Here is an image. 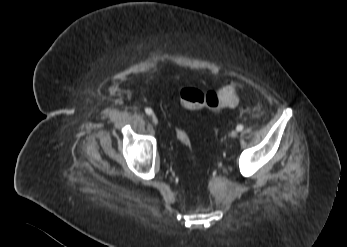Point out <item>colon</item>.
Returning a JSON list of instances; mask_svg holds the SVG:
<instances>
[{
  "instance_id": "colon-1",
  "label": "colon",
  "mask_w": 347,
  "mask_h": 247,
  "mask_svg": "<svg viewBox=\"0 0 347 247\" xmlns=\"http://www.w3.org/2000/svg\"><path fill=\"white\" fill-rule=\"evenodd\" d=\"M180 101L188 109L208 108L214 112L233 107L237 103V93L232 84H226L216 91L203 92L194 87H186L180 91ZM177 140L187 149L192 150L190 136L184 128L175 129Z\"/></svg>"
}]
</instances>
